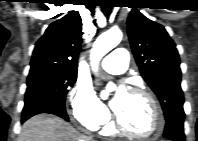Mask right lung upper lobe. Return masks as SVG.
Returning <instances> with one entry per match:
<instances>
[{"label":"right lung upper lobe","mask_w":198,"mask_h":141,"mask_svg":"<svg viewBox=\"0 0 198 141\" xmlns=\"http://www.w3.org/2000/svg\"><path fill=\"white\" fill-rule=\"evenodd\" d=\"M82 43V20L72 11L53 22L37 41L31 59V72H76Z\"/></svg>","instance_id":"cb5924a9"}]
</instances>
